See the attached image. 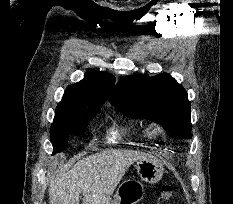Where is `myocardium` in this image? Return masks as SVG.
I'll list each match as a JSON object with an SVG mask.
<instances>
[{
    "label": "myocardium",
    "instance_id": "1",
    "mask_svg": "<svg viewBox=\"0 0 233 204\" xmlns=\"http://www.w3.org/2000/svg\"><path fill=\"white\" fill-rule=\"evenodd\" d=\"M149 131L153 135H158L163 132V128L160 125H151L149 127Z\"/></svg>",
    "mask_w": 233,
    "mask_h": 204
}]
</instances>
